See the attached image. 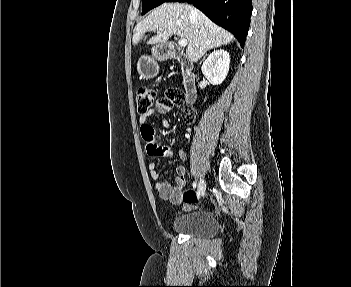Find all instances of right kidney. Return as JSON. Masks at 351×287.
I'll list each match as a JSON object with an SVG mask.
<instances>
[{
    "mask_svg": "<svg viewBox=\"0 0 351 287\" xmlns=\"http://www.w3.org/2000/svg\"><path fill=\"white\" fill-rule=\"evenodd\" d=\"M230 65L229 53L223 49L212 52L203 62L202 73L212 85H220L226 78Z\"/></svg>",
    "mask_w": 351,
    "mask_h": 287,
    "instance_id": "1",
    "label": "right kidney"
}]
</instances>
